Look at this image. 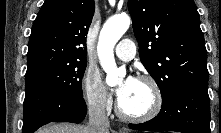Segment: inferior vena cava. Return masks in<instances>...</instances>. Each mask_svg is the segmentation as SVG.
<instances>
[{"instance_id":"inferior-vena-cava-1","label":"inferior vena cava","mask_w":221,"mask_h":133,"mask_svg":"<svg viewBox=\"0 0 221 133\" xmlns=\"http://www.w3.org/2000/svg\"><path fill=\"white\" fill-rule=\"evenodd\" d=\"M89 124L88 127L91 133H108L109 132V119L106 115L105 105L101 101L95 103L88 108Z\"/></svg>"}]
</instances>
